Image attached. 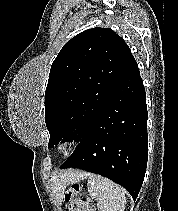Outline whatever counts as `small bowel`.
Wrapping results in <instances>:
<instances>
[{
  "instance_id": "c3829d8e",
  "label": "small bowel",
  "mask_w": 178,
  "mask_h": 211,
  "mask_svg": "<svg viewBox=\"0 0 178 211\" xmlns=\"http://www.w3.org/2000/svg\"><path fill=\"white\" fill-rule=\"evenodd\" d=\"M79 211H95V209L88 202H83Z\"/></svg>"
}]
</instances>
